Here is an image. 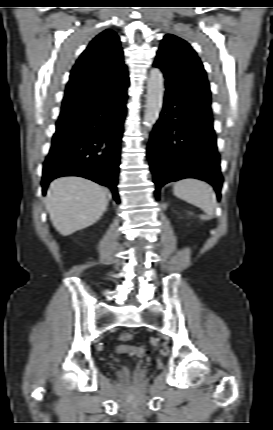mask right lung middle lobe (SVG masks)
Masks as SVG:
<instances>
[{
  "label": "right lung middle lobe",
  "mask_w": 273,
  "mask_h": 430,
  "mask_svg": "<svg viewBox=\"0 0 273 430\" xmlns=\"http://www.w3.org/2000/svg\"><path fill=\"white\" fill-rule=\"evenodd\" d=\"M75 116L76 115H72V114H61L59 117V120L57 122V125L68 122V121L72 120Z\"/></svg>",
  "instance_id": "right-lung-middle-lobe-1"
}]
</instances>
